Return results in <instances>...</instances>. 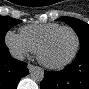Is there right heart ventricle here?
<instances>
[{
  "label": "right heart ventricle",
  "instance_id": "obj_1",
  "mask_svg": "<svg viewBox=\"0 0 89 89\" xmlns=\"http://www.w3.org/2000/svg\"><path fill=\"white\" fill-rule=\"evenodd\" d=\"M59 27L58 23L30 24L21 27L19 34L36 51L43 38Z\"/></svg>",
  "mask_w": 89,
  "mask_h": 89
}]
</instances>
